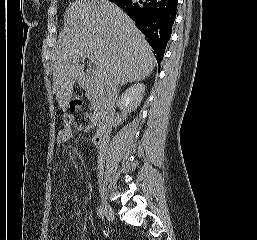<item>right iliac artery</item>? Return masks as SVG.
Segmentation results:
<instances>
[{
  "label": "right iliac artery",
  "mask_w": 257,
  "mask_h": 240,
  "mask_svg": "<svg viewBox=\"0 0 257 240\" xmlns=\"http://www.w3.org/2000/svg\"><path fill=\"white\" fill-rule=\"evenodd\" d=\"M97 215L99 216V217H103V209H102V207L101 206H99L98 208H97Z\"/></svg>",
  "instance_id": "obj_1"
}]
</instances>
